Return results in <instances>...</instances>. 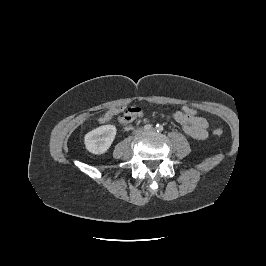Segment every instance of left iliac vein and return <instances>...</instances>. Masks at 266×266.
<instances>
[{"mask_svg":"<svg viewBox=\"0 0 266 266\" xmlns=\"http://www.w3.org/2000/svg\"><path fill=\"white\" fill-rule=\"evenodd\" d=\"M147 132L151 133V132H154V130H150V131H147Z\"/></svg>","mask_w":266,"mask_h":266,"instance_id":"obj_1","label":"left iliac vein"}]
</instances>
